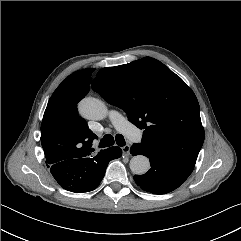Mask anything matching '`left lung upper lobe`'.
Wrapping results in <instances>:
<instances>
[{
    "mask_svg": "<svg viewBox=\"0 0 241 241\" xmlns=\"http://www.w3.org/2000/svg\"><path fill=\"white\" fill-rule=\"evenodd\" d=\"M92 89L143 129L141 146L195 164L204 142L199 103L186 83L145 57L101 69Z\"/></svg>",
    "mask_w": 241,
    "mask_h": 241,
    "instance_id": "1",
    "label": "left lung upper lobe"
}]
</instances>
